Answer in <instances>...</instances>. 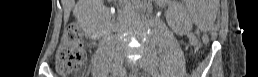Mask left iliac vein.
Instances as JSON below:
<instances>
[{"mask_svg": "<svg viewBox=\"0 0 258 77\" xmlns=\"http://www.w3.org/2000/svg\"><path fill=\"white\" fill-rule=\"evenodd\" d=\"M139 67H141L144 71H146L150 75H157L158 71L154 61L149 57H142L138 61Z\"/></svg>", "mask_w": 258, "mask_h": 77, "instance_id": "4c4485c4", "label": "left iliac vein"}]
</instances>
